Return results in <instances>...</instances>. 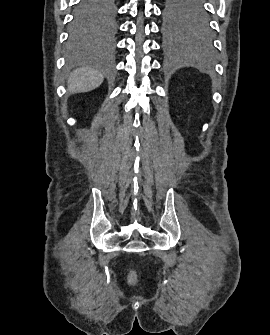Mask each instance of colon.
<instances>
[{
    "instance_id": "5ec220e1",
    "label": "colon",
    "mask_w": 270,
    "mask_h": 335,
    "mask_svg": "<svg viewBox=\"0 0 270 335\" xmlns=\"http://www.w3.org/2000/svg\"><path fill=\"white\" fill-rule=\"evenodd\" d=\"M136 280V276H131V281H135Z\"/></svg>"
}]
</instances>
